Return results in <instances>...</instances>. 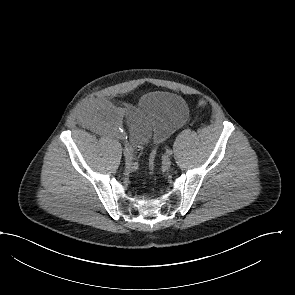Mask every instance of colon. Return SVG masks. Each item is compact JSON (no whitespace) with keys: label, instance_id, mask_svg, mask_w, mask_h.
<instances>
[{"label":"colon","instance_id":"1","mask_svg":"<svg viewBox=\"0 0 295 295\" xmlns=\"http://www.w3.org/2000/svg\"><path fill=\"white\" fill-rule=\"evenodd\" d=\"M205 104L204 101H200L199 105L203 106ZM155 160H156V151H152L150 156H149V167L152 170L155 164Z\"/></svg>","mask_w":295,"mask_h":295}]
</instances>
